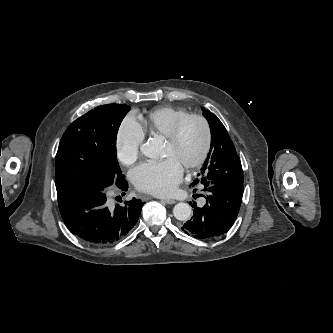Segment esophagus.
Returning a JSON list of instances; mask_svg holds the SVG:
<instances>
[{
    "label": "esophagus",
    "mask_w": 333,
    "mask_h": 333,
    "mask_svg": "<svg viewBox=\"0 0 333 333\" xmlns=\"http://www.w3.org/2000/svg\"><path fill=\"white\" fill-rule=\"evenodd\" d=\"M163 201L166 203V204H175L176 201L174 199H163Z\"/></svg>",
    "instance_id": "1"
}]
</instances>
